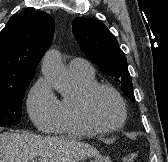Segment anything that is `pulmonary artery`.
I'll return each instance as SVG.
<instances>
[{"instance_id":"e3ab8cb5","label":"pulmonary artery","mask_w":168,"mask_h":162,"mask_svg":"<svg viewBox=\"0 0 168 162\" xmlns=\"http://www.w3.org/2000/svg\"><path fill=\"white\" fill-rule=\"evenodd\" d=\"M68 68L70 73L73 75H80V76L94 75V70L91 64L88 61L81 58L72 59L68 64Z\"/></svg>"}]
</instances>
